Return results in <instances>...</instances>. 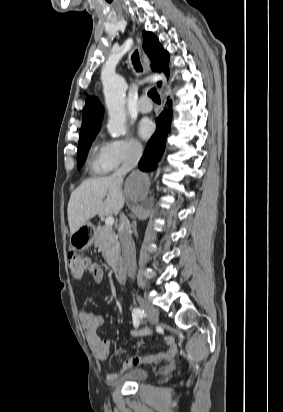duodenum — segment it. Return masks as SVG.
Here are the masks:
<instances>
[{"instance_id":"obj_1","label":"duodenum","mask_w":283,"mask_h":412,"mask_svg":"<svg viewBox=\"0 0 283 412\" xmlns=\"http://www.w3.org/2000/svg\"><path fill=\"white\" fill-rule=\"evenodd\" d=\"M113 272L118 283L123 284L126 281V271L124 263L121 260H116L113 265Z\"/></svg>"}]
</instances>
